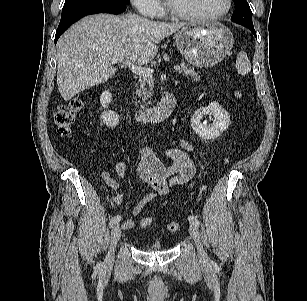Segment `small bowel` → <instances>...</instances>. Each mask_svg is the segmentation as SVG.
I'll list each match as a JSON object with an SVG mask.
<instances>
[{
	"mask_svg": "<svg viewBox=\"0 0 307 301\" xmlns=\"http://www.w3.org/2000/svg\"><path fill=\"white\" fill-rule=\"evenodd\" d=\"M195 147L185 141L178 140V146L164 150L163 153L172 161L171 167H165L156 153L149 148L142 152L141 161L138 165L139 177L150 184L152 191L144 195L134 206L133 215L138 216L142 213L145 206L152 202L157 196L167 195L172 187L177 185L191 184L196 177V166L192 156ZM116 177L121 178L126 171L124 161H119L115 166ZM102 179L112 191V199L117 204L124 202V195L118 191V183L115 177L109 172L102 173ZM132 219H126L122 222V228L129 230L134 227Z\"/></svg>",
	"mask_w": 307,
	"mask_h": 301,
	"instance_id": "small-bowel-1",
	"label": "small bowel"
}]
</instances>
